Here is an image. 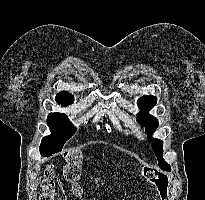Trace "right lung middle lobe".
Masks as SVG:
<instances>
[{"mask_svg": "<svg viewBox=\"0 0 205 200\" xmlns=\"http://www.w3.org/2000/svg\"><path fill=\"white\" fill-rule=\"evenodd\" d=\"M56 102L61 106H68L74 102V97L70 93L62 91L56 95ZM47 124L51 134L42 139L41 146L49 147L57 152L61 151L65 142L74 135L76 128L63 113H50Z\"/></svg>", "mask_w": 205, "mask_h": 200, "instance_id": "1", "label": "right lung middle lobe"}]
</instances>
